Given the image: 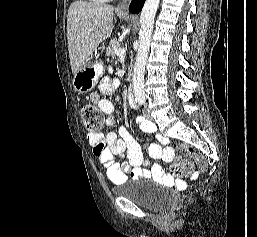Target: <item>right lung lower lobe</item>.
I'll return each mask as SVG.
<instances>
[{
  "instance_id": "right-lung-lower-lobe-1",
  "label": "right lung lower lobe",
  "mask_w": 257,
  "mask_h": 237,
  "mask_svg": "<svg viewBox=\"0 0 257 237\" xmlns=\"http://www.w3.org/2000/svg\"><path fill=\"white\" fill-rule=\"evenodd\" d=\"M145 0H132L129 11L131 13H139L143 7Z\"/></svg>"
}]
</instances>
